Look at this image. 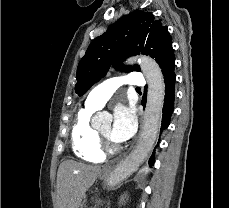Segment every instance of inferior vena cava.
Returning a JSON list of instances; mask_svg holds the SVG:
<instances>
[{"label": "inferior vena cava", "mask_w": 229, "mask_h": 208, "mask_svg": "<svg viewBox=\"0 0 229 208\" xmlns=\"http://www.w3.org/2000/svg\"><path fill=\"white\" fill-rule=\"evenodd\" d=\"M144 118H145V116H144ZM143 126H144V124H143ZM144 130H145V126H144ZM145 132H146V130H145Z\"/></svg>", "instance_id": "inferior-vena-cava-1"}]
</instances>
